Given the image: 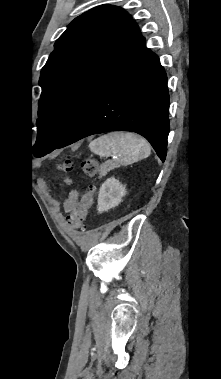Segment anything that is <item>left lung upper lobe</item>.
<instances>
[{
  "mask_svg": "<svg viewBox=\"0 0 221 379\" xmlns=\"http://www.w3.org/2000/svg\"><path fill=\"white\" fill-rule=\"evenodd\" d=\"M144 47L137 24L122 8L101 5L75 18L41 71L33 154L53 151Z\"/></svg>",
  "mask_w": 221,
  "mask_h": 379,
  "instance_id": "1",
  "label": "left lung upper lobe"
}]
</instances>
